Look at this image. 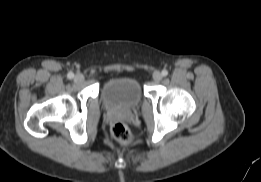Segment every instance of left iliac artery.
I'll return each mask as SVG.
<instances>
[{
  "label": "left iliac artery",
  "instance_id": "1",
  "mask_svg": "<svg viewBox=\"0 0 261 182\" xmlns=\"http://www.w3.org/2000/svg\"><path fill=\"white\" fill-rule=\"evenodd\" d=\"M162 75H163V76H167V75H168V71H167V70H165V69H164V70H162Z\"/></svg>",
  "mask_w": 261,
  "mask_h": 182
}]
</instances>
